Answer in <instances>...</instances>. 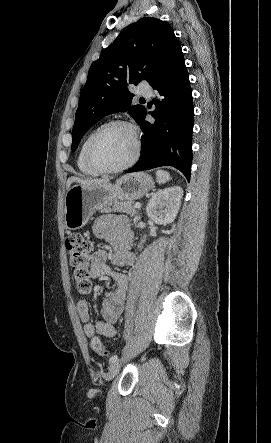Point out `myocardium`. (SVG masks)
I'll return each mask as SVG.
<instances>
[{"mask_svg":"<svg viewBox=\"0 0 271 443\" xmlns=\"http://www.w3.org/2000/svg\"><path fill=\"white\" fill-rule=\"evenodd\" d=\"M117 126L125 127L130 131V133L133 137V141H134V150H133V153L130 156V158L122 165L116 166V167H106V166L99 164L95 160V158L93 156V148H94L96 142L99 140V138L108 129H110L112 127H117ZM141 150H142V142H141L139 131L136 128V126L128 121L117 119V120H111L109 122H106L105 124L101 125L95 131V133L92 135V137L90 138V140L87 143V146L85 149V159H86V162L88 163V165L90 167H92L94 170H96L97 172L103 173V174H111V173L121 172V171L126 170L127 168L131 167L138 160V158L141 154Z\"/></svg>","mask_w":271,"mask_h":443,"instance_id":"obj_1","label":"myocardium"}]
</instances>
